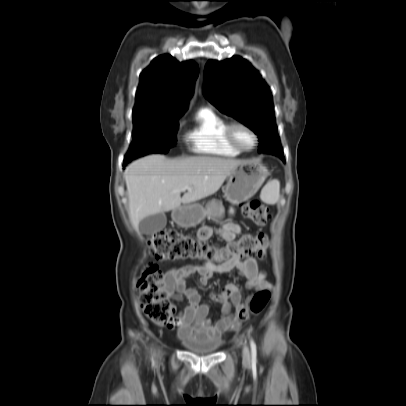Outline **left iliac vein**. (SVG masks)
Here are the masks:
<instances>
[{"instance_id":"1","label":"left iliac vein","mask_w":406,"mask_h":406,"mask_svg":"<svg viewBox=\"0 0 406 406\" xmlns=\"http://www.w3.org/2000/svg\"><path fill=\"white\" fill-rule=\"evenodd\" d=\"M242 357H243L244 363H246V364L250 363V351H249V347L246 344L243 345Z\"/></svg>"}]
</instances>
